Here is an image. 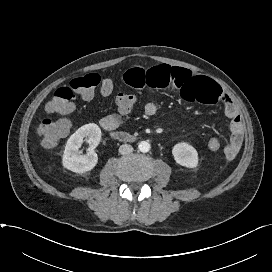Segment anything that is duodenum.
<instances>
[{
    "label": "duodenum",
    "instance_id": "410a0bca",
    "mask_svg": "<svg viewBox=\"0 0 272 272\" xmlns=\"http://www.w3.org/2000/svg\"><path fill=\"white\" fill-rule=\"evenodd\" d=\"M111 137L113 139L122 141V142H132L134 141V136L127 133V132H122V131H114L111 133Z\"/></svg>",
    "mask_w": 272,
    "mask_h": 272
}]
</instances>
